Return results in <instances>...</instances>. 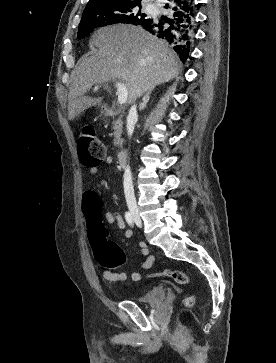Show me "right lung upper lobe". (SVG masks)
<instances>
[{
  "label": "right lung upper lobe",
  "instance_id": "cb5924a9",
  "mask_svg": "<svg viewBox=\"0 0 276 363\" xmlns=\"http://www.w3.org/2000/svg\"><path fill=\"white\" fill-rule=\"evenodd\" d=\"M107 1H116V0H90L86 7L96 4V3L107 2ZM118 1H129V2L141 3V0H118ZM145 22H151V20L145 18V20L140 25H142Z\"/></svg>",
  "mask_w": 276,
  "mask_h": 363
}]
</instances>
